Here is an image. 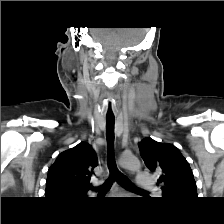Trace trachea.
Here are the masks:
<instances>
[{
  "instance_id": "obj_1",
  "label": "trachea",
  "mask_w": 224,
  "mask_h": 224,
  "mask_svg": "<svg viewBox=\"0 0 224 224\" xmlns=\"http://www.w3.org/2000/svg\"><path fill=\"white\" fill-rule=\"evenodd\" d=\"M114 125L115 119L114 117H107L106 118V138L108 142V168L110 171L109 178L105 181L102 186L98 188H94L98 191L99 194H104L107 192L113 181H117L121 186L128 190H140V188L136 187L131 181L124 176L117 168L114 156Z\"/></svg>"
}]
</instances>
